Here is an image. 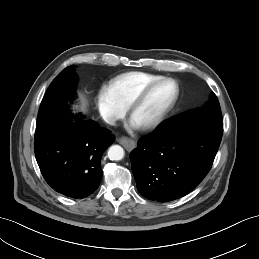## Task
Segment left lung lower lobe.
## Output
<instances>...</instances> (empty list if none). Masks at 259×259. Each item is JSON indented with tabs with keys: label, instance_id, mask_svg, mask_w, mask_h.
<instances>
[{
	"label": "left lung lower lobe",
	"instance_id": "obj_1",
	"mask_svg": "<svg viewBox=\"0 0 259 259\" xmlns=\"http://www.w3.org/2000/svg\"><path fill=\"white\" fill-rule=\"evenodd\" d=\"M223 120L185 118L138 141L130 154L139 193L167 202L191 192L210 171Z\"/></svg>",
	"mask_w": 259,
	"mask_h": 259
}]
</instances>
